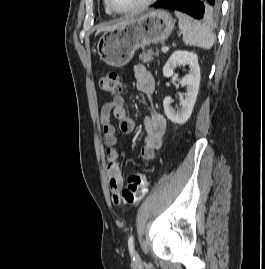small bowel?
Returning <instances> with one entry per match:
<instances>
[{
    "mask_svg": "<svg viewBox=\"0 0 265 269\" xmlns=\"http://www.w3.org/2000/svg\"><path fill=\"white\" fill-rule=\"evenodd\" d=\"M137 90L145 95L151 105L150 112L144 118L145 138L140 149V155L145 164H149L154 158L156 151L162 146V139L166 131V120L155 108L153 94L155 80L151 73L143 65L134 67ZM114 116L119 121V128L123 134H129L134 130L135 123L128 116L124 99L120 96L106 101L100 110V124L107 156L108 186L115 203L119 202L122 187L121 169L118 164V138L116 128L111 123Z\"/></svg>",
    "mask_w": 265,
    "mask_h": 269,
    "instance_id": "c3829d8e",
    "label": "small bowel"
}]
</instances>
